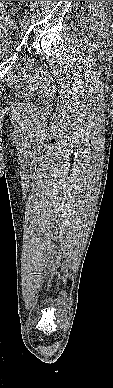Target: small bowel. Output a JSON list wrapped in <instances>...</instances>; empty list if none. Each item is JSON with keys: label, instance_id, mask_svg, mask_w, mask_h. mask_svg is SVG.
I'll use <instances>...</instances> for the list:
<instances>
[{"label": "small bowel", "instance_id": "obj_1", "mask_svg": "<svg viewBox=\"0 0 113 388\" xmlns=\"http://www.w3.org/2000/svg\"><path fill=\"white\" fill-rule=\"evenodd\" d=\"M6 13L4 11V4L0 1V20H4Z\"/></svg>", "mask_w": 113, "mask_h": 388}]
</instances>
